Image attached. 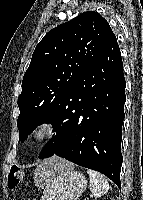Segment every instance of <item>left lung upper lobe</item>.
Wrapping results in <instances>:
<instances>
[{
  "mask_svg": "<svg viewBox=\"0 0 143 200\" xmlns=\"http://www.w3.org/2000/svg\"><path fill=\"white\" fill-rule=\"evenodd\" d=\"M115 37L97 12H84L49 31L36 46L18 97L19 140L43 122L67 123L66 99L73 86Z\"/></svg>",
  "mask_w": 143,
  "mask_h": 200,
  "instance_id": "5c2ea615",
  "label": "left lung upper lobe"
}]
</instances>
